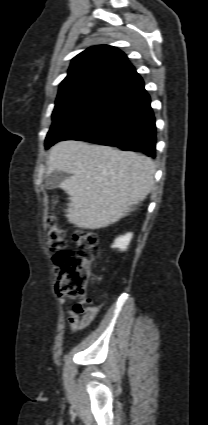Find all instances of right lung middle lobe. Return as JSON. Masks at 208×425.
I'll return each mask as SVG.
<instances>
[{
	"label": "right lung middle lobe",
	"mask_w": 208,
	"mask_h": 425,
	"mask_svg": "<svg viewBox=\"0 0 208 425\" xmlns=\"http://www.w3.org/2000/svg\"><path fill=\"white\" fill-rule=\"evenodd\" d=\"M100 93L101 91H97V90H86V91L72 93L66 97L56 100L55 108L52 114L53 123L51 128L57 125L59 120L65 114H68L71 111L77 110L80 107L86 105L87 103L95 99ZM49 132L45 140L46 148H49L54 143V140L52 139V137H50Z\"/></svg>",
	"instance_id": "dd1d6c3e"
}]
</instances>
